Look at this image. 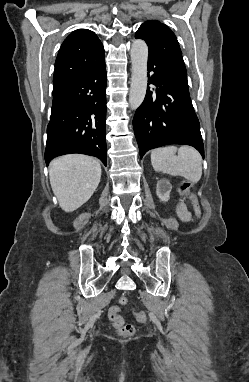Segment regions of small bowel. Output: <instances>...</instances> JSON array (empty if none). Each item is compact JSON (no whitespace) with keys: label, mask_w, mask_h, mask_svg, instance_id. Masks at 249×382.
Masks as SVG:
<instances>
[{"label":"small bowel","mask_w":249,"mask_h":382,"mask_svg":"<svg viewBox=\"0 0 249 382\" xmlns=\"http://www.w3.org/2000/svg\"><path fill=\"white\" fill-rule=\"evenodd\" d=\"M177 213L183 221H188L190 219L189 212L182 205L178 206Z\"/></svg>","instance_id":"1"}]
</instances>
